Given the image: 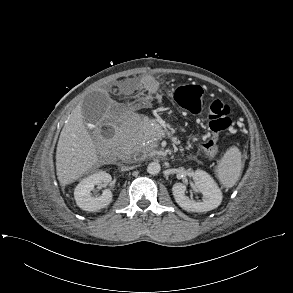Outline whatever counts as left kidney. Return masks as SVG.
I'll list each match as a JSON object with an SVG mask.
<instances>
[{
  "mask_svg": "<svg viewBox=\"0 0 293 293\" xmlns=\"http://www.w3.org/2000/svg\"><path fill=\"white\" fill-rule=\"evenodd\" d=\"M193 179L198 190L203 194L202 201L191 200L186 196V186L175 183L172 187L177 204L186 211L207 212L217 208L222 202V192L214 179L203 170H196Z\"/></svg>",
  "mask_w": 293,
  "mask_h": 293,
  "instance_id": "left-kidney-1",
  "label": "left kidney"
}]
</instances>
